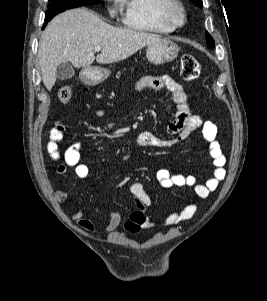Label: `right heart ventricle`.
Wrapping results in <instances>:
<instances>
[{
  "label": "right heart ventricle",
  "instance_id": "right-heart-ventricle-1",
  "mask_svg": "<svg viewBox=\"0 0 267 301\" xmlns=\"http://www.w3.org/2000/svg\"><path fill=\"white\" fill-rule=\"evenodd\" d=\"M123 12V25L131 30L170 33L176 29L163 14L167 0H118Z\"/></svg>",
  "mask_w": 267,
  "mask_h": 301
}]
</instances>
